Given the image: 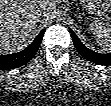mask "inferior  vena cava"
I'll list each match as a JSON object with an SVG mask.
<instances>
[{
    "label": "inferior vena cava",
    "mask_w": 111,
    "mask_h": 106,
    "mask_svg": "<svg viewBox=\"0 0 111 106\" xmlns=\"http://www.w3.org/2000/svg\"><path fill=\"white\" fill-rule=\"evenodd\" d=\"M36 16H37V19H38L39 21H42V20L45 19V17L47 16V13L44 12V11H42V10H38Z\"/></svg>",
    "instance_id": "1"
}]
</instances>
